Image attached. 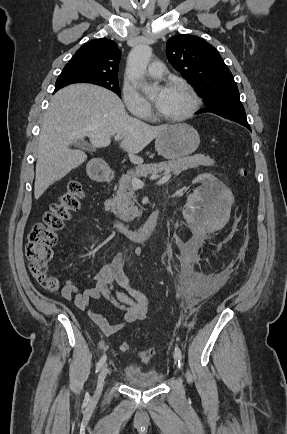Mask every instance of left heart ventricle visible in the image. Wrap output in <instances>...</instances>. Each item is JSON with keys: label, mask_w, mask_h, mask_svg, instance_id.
I'll use <instances>...</instances> for the list:
<instances>
[{"label": "left heart ventricle", "mask_w": 287, "mask_h": 434, "mask_svg": "<svg viewBox=\"0 0 287 434\" xmlns=\"http://www.w3.org/2000/svg\"><path fill=\"white\" fill-rule=\"evenodd\" d=\"M190 105V98L188 94L178 88H168V93L162 105L158 107V111L165 116H179L188 109Z\"/></svg>", "instance_id": "b2bd125f"}]
</instances>
